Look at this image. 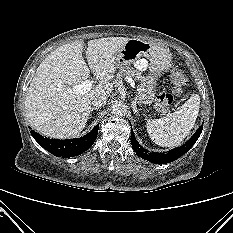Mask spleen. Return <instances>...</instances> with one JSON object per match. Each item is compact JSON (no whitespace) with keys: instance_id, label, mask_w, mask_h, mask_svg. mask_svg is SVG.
Wrapping results in <instances>:
<instances>
[{"instance_id":"1","label":"spleen","mask_w":233,"mask_h":233,"mask_svg":"<svg viewBox=\"0 0 233 233\" xmlns=\"http://www.w3.org/2000/svg\"><path fill=\"white\" fill-rule=\"evenodd\" d=\"M200 108V97L193 94L180 110L163 118L148 119L147 132L153 142L160 146L174 147L190 133L196 122Z\"/></svg>"}]
</instances>
